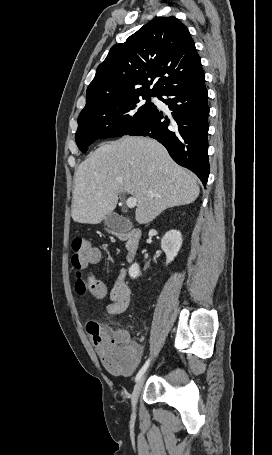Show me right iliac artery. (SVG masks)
I'll return each instance as SVG.
<instances>
[{"instance_id": "right-iliac-artery-1", "label": "right iliac artery", "mask_w": 272, "mask_h": 455, "mask_svg": "<svg viewBox=\"0 0 272 455\" xmlns=\"http://www.w3.org/2000/svg\"><path fill=\"white\" fill-rule=\"evenodd\" d=\"M149 362L150 360L148 359L145 364L143 365V367L139 370V372L137 373L136 375V378H135V381H138L142 376L143 374L145 373L146 369L148 368L149 366Z\"/></svg>"}]
</instances>
